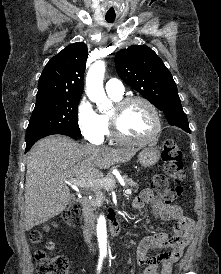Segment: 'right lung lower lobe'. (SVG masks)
<instances>
[{"label":"right lung lower lobe","mask_w":221,"mask_h":274,"mask_svg":"<svg viewBox=\"0 0 221 274\" xmlns=\"http://www.w3.org/2000/svg\"><path fill=\"white\" fill-rule=\"evenodd\" d=\"M53 134H62V135L70 136V137H72V138H79V137H77V136H74V135H71V134H67V133H62V132L47 133V134L40 135V136H38V137H36V138H33V139L29 140V141H26V149H25V150H26V151H29L30 148L32 147V145H33L37 140H39V139H41V138H43V137H45V136L53 135Z\"/></svg>","instance_id":"1"}]
</instances>
